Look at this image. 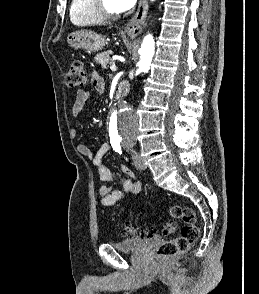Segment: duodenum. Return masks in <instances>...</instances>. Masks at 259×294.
<instances>
[{
    "label": "duodenum",
    "mask_w": 259,
    "mask_h": 294,
    "mask_svg": "<svg viewBox=\"0 0 259 294\" xmlns=\"http://www.w3.org/2000/svg\"><path fill=\"white\" fill-rule=\"evenodd\" d=\"M129 90V84L127 82H122L118 86L116 90V100L120 101L123 99V97L128 93Z\"/></svg>",
    "instance_id": "1"
}]
</instances>
